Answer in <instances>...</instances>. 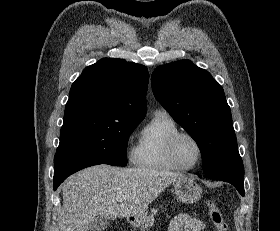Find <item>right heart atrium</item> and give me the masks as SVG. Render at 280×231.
Wrapping results in <instances>:
<instances>
[{"instance_id": "obj_1", "label": "right heart atrium", "mask_w": 280, "mask_h": 231, "mask_svg": "<svg viewBox=\"0 0 280 231\" xmlns=\"http://www.w3.org/2000/svg\"><path fill=\"white\" fill-rule=\"evenodd\" d=\"M128 157L131 159V160H134L135 159V149L134 148H131L128 152Z\"/></svg>"}]
</instances>
